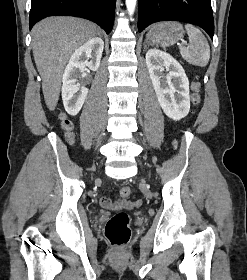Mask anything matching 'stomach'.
Masks as SVG:
<instances>
[{"label":"stomach","instance_id":"0dacf381","mask_svg":"<svg viewBox=\"0 0 247 280\" xmlns=\"http://www.w3.org/2000/svg\"><path fill=\"white\" fill-rule=\"evenodd\" d=\"M183 27L178 22H162L151 27L147 39L161 46H170L183 37Z\"/></svg>","mask_w":247,"mask_h":280}]
</instances>
